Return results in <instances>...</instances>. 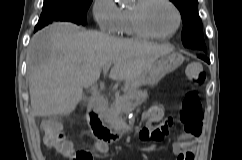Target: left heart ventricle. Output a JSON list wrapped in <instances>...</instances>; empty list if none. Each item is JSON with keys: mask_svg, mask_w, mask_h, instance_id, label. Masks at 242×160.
<instances>
[{"mask_svg": "<svg viewBox=\"0 0 242 160\" xmlns=\"http://www.w3.org/2000/svg\"><path fill=\"white\" fill-rule=\"evenodd\" d=\"M144 22L147 28L156 34H169L177 24L173 8L163 0H153L144 11Z\"/></svg>", "mask_w": 242, "mask_h": 160, "instance_id": "b2bd125f", "label": "left heart ventricle"}]
</instances>
